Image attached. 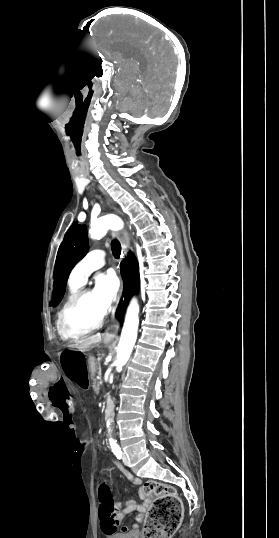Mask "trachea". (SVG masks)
<instances>
[{
	"mask_svg": "<svg viewBox=\"0 0 279 538\" xmlns=\"http://www.w3.org/2000/svg\"><path fill=\"white\" fill-rule=\"evenodd\" d=\"M111 250L115 258H119L121 254V245L118 240H112Z\"/></svg>",
	"mask_w": 279,
	"mask_h": 538,
	"instance_id": "obj_1",
	"label": "trachea"
}]
</instances>
